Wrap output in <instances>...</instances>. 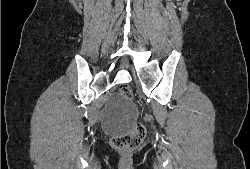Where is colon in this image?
Returning <instances> with one entry per match:
<instances>
[{"mask_svg": "<svg viewBox=\"0 0 250 169\" xmlns=\"http://www.w3.org/2000/svg\"><path fill=\"white\" fill-rule=\"evenodd\" d=\"M120 95L128 101H135L134 92L124 85L120 88ZM137 106L140 104L137 103ZM137 115H142V110H137ZM138 126H134V130L125 134H117L115 138L110 139V146L113 150H120V155H131V150H137V147L147 138V126H143V122H138ZM121 169H127V164H121Z\"/></svg>", "mask_w": 250, "mask_h": 169, "instance_id": "5ec220e1", "label": "colon"}]
</instances>
